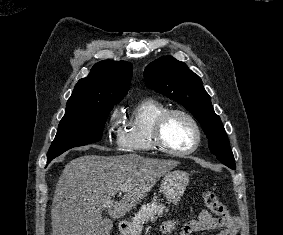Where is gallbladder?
Wrapping results in <instances>:
<instances>
[{
	"label": "gallbladder",
	"mask_w": 283,
	"mask_h": 235,
	"mask_svg": "<svg viewBox=\"0 0 283 235\" xmlns=\"http://www.w3.org/2000/svg\"><path fill=\"white\" fill-rule=\"evenodd\" d=\"M104 220H105L106 222H108V221H109V219H108V218H105Z\"/></svg>",
	"instance_id": "bac80fb5"
}]
</instances>
